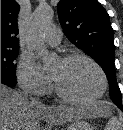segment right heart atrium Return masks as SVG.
I'll list each match as a JSON object with an SVG mask.
<instances>
[{
    "label": "right heart atrium",
    "instance_id": "obj_1",
    "mask_svg": "<svg viewBox=\"0 0 123 130\" xmlns=\"http://www.w3.org/2000/svg\"><path fill=\"white\" fill-rule=\"evenodd\" d=\"M17 79L21 88L27 93L43 95L48 91L49 79L30 55L21 56L17 66Z\"/></svg>",
    "mask_w": 123,
    "mask_h": 130
}]
</instances>
